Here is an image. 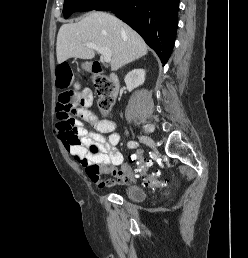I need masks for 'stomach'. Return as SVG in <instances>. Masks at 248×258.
<instances>
[{"mask_svg": "<svg viewBox=\"0 0 248 258\" xmlns=\"http://www.w3.org/2000/svg\"><path fill=\"white\" fill-rule=\"evenodd\" d=\"M82 67L86 70H90V64L89 63H85L82 65Z\"/></svg>", "mask_w": 248, "mask_h": 258, "instance_id": "1", "label": "stomach"}]
</instances>
